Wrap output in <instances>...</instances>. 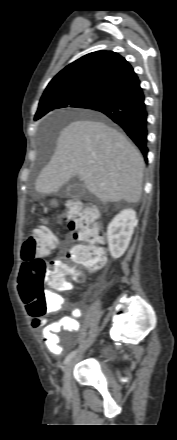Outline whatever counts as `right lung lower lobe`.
I'll return each mask as SVG.
<instances>
[{
  "label": "right lung lower lobe",
  "mask_w": 177,
  "mask_h": 440,
  "mask_svg": "<svg viewBox=\"0 0 177 440\" xmlns=\"http://www.w3.org/2000/svg\"><path fill=\"white\" fill-rule=\"evenodd\" d=\"M139 79L97 99L86 109L95 110L117 123L141 150L147 161V110Z\"/></svg>",
  "instance_id": "right-lung-lower-lobe-1"
}]
</instances>
